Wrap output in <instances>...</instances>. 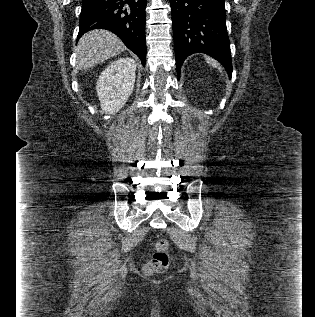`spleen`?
<instances>
[{"label":"spleen","instance_id":"spleen-1","mask_svg":"<svg viewBox=\"0 0 315 317\" xmlns=\"http://www.w3.org/2000/svg\"><path fill=\"white\" fill-rule=\"evenodd\" d=\"M206 62L210 65V66H212V67H215V68H218L220 71H221V66L216 62V61H214L212 58H210V57H206Z\"/></svg>","mask_w":315,"mask_h":317}]
</instances>
